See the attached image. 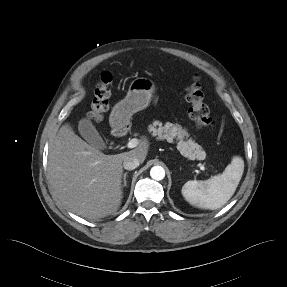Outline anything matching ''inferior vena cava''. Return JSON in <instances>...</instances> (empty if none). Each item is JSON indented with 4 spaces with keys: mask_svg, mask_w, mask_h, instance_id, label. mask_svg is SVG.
Wrapping results in <instances>:
<instances>
[{
    "mask_svg": "<svg viewBox=\"0 0 287 287\" xmlns=\"http://www.w3.org/2000/svg\"><path fill=\"white\" fill-rule=\"evenodd\" d=\"M140 164V161L136 157L128 156L123 161V167L126 170H134Z\"/></svg>",
    "mask_w": 287,
    "mask_h": 287,
    "instance_id": "602c4592",
    "label": "inferior vena cava"
}]
</instances>
